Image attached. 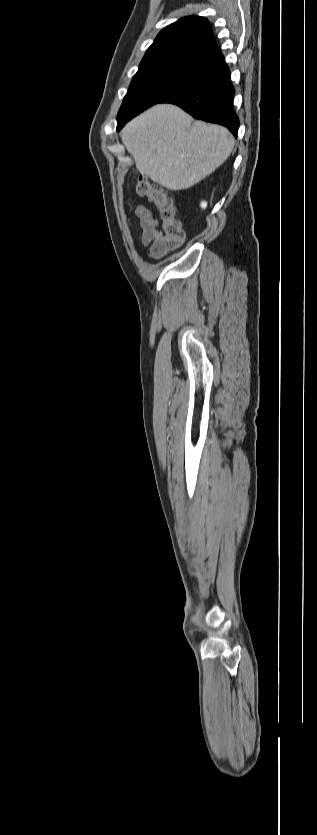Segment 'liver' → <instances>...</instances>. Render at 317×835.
<instances>
[{"mask_svg": "<svg viewBox=\"0 0 317 835\" xmlns=\"http://www.w3.org/2000/svg\"><path fill=\"white\" fill-rule=\"evenodd\" d=\"M136 168L170 189H186L214 172L230 156L235 139L227 128L194 121L182 109L158 104L122 130Z\"/></svg>", "mask_w": 317, "mask_h": 835, "instance_id": "6515ba94", "label": "liver"}]
</instances>
